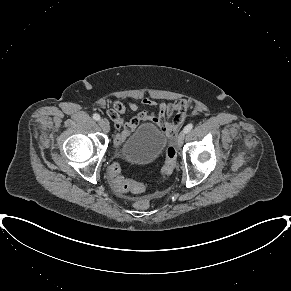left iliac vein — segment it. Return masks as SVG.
Here are the masks:
<instances>
[{
    "instance_id": "4c4485c4",
    "label": "left iliac vein",
    "mask_w": 291,
    "mask_h": 291,
    "mask_svg": "<svg viewBox=\"0 0 291 291\" xmlns=\"http://www.w3.org/2000/svg\"><path fill=\"white\" fill-rule=\"evenodd\" d=\"M184 138H185V133L181 132L178 137H177V144L178 146H182L183 142H184Z\"/></svg>"
}]
</instances>
